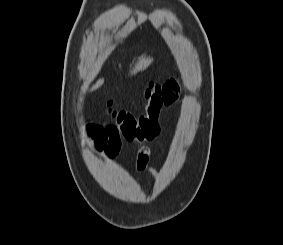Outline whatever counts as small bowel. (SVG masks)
<instances>
[{
    "mask_svg": "<svg viewBox=\"0 0 283 245\" xmlns=\"http://www.w3.org/2000/svg\"><path fill=\"white\" fill-rule=\"evenodd\" d=\"M162 85L163 106H173L180 91V84L176 79H168ZM87 135L93 143V148L103 152L106 159H113L121 147V135L113 125L89 124ZM156 151L149 146L139 148L135 161L137 173L147 172L153 177H158L159 172L151 166V159Z\"/></svg>",
    "mask_w": 283,
    "mask_h": 245,
    "instance_id": "1",
    "label": "small bowel"
}]
</instances>
